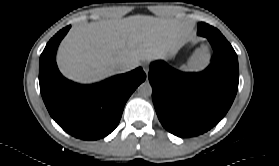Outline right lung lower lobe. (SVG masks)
Segmentation results:
<instances>
[{"mask_svg": "<svg viewBox=\"0 0 279 166\" xmlns=\"http://www.w3.org/2000/svg\"><path fill=\"white\" fill-rule=\"evenodd\" d=\"M71 26L60 30L40 56L39 83L51 117L74 137L96 140L118 125L124 106L146 74L141 67L94 85H79L64 78L56 65V51Z\"/></svg>", "mask_w": 279, "mask_h": 166, "instance_id": "98d812e1", "label": "right lung lower lobe"}]
</instances>
